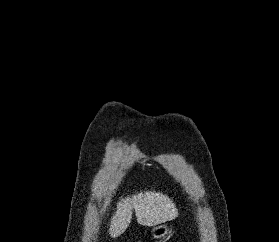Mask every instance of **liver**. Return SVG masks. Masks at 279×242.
Returning <instances> with one entry per match:
<instances>
[{"label": "liver", "mask_w": 279, "mask_h": 242, "mask_svg": "<svg viewBox=\"0 0 279 242\" xmlns=\"http://www.w3.org/2000/svg\"><path fill=\"white\" fill-rule=\"evenodd\" d=\"M133 209L137 222L144 226H156L178 216L175 204L167 195L156 191L140 192L132 197L122 198L117 204L109 229L112 238L119 237L128 228Z\"/></svg>", "instance_id": "1"}]
</instances>
